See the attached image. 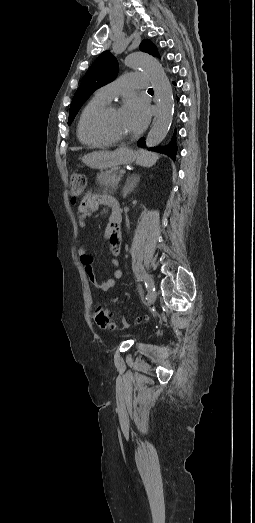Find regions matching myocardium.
<instances>
[{
	"label": "myocardium",
	"instance_id": "obj_1",
	"mask_svg": "<svg viewBox=\"0 0 255 523\" xmlns=\"http://www.w3.org/2000/svg\"><path fill=\"white\" fill-rule=\"evenodd\" d=\"M123 108H124L123 104H114V103L109 102V103L103 104V105L98 106L95 109H93L88 114V116L85 120V129H86L87 133L91 137L104 141V142H107V143L128 142V141L134 140V138H135L134 136L129 137V138H123V137L112 136V135L106 134V133L100 131L99 129H97L95 126V122L99 117L105 115L107 112H109L111 110H120Z\"/></svg>",
	"mask_w": 255,
	"mask_h": 523
}]
</instances>
